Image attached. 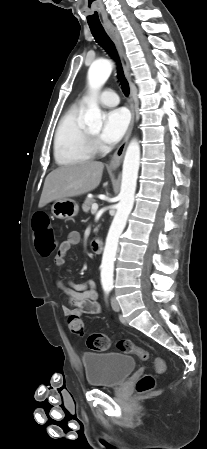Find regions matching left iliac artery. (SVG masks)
<instances>
[{
	"mask_svg": "<svg viewBox=\"0 0 207 449\" xmlns=\"http://www.w3.org/2000/svg\"><path fill=\"white\" fill-rule=\"evenodd\" d=\"M106 289H107L108 291H110V290L112 289V287H107Z\"/></svg>",
	"mask_w": 207,
	"mask_h": 449,
	"instance_id": "left-iliac-artery-1",
	"label": "left iliac artery"
}]
</instances>
